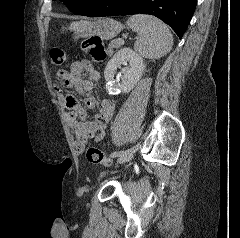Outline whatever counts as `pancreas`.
I'll use <instances>...</instances> for the list:
<instances>
[{"label":"pancreas","mask_w":240,"mask_h":238,"mask_svg":"<svg viewBox=\"0 0 240 238\" xmlns=\"http://www.w3.org/2000/svg\"><path fill=\"white\" fill-rule=\"evenodd\" d=\"M122 44L118 39L111 41L107 48V55L111 56L114 53V49H118Z\"/></svg>","instance_id":"1"}]
</instances>
